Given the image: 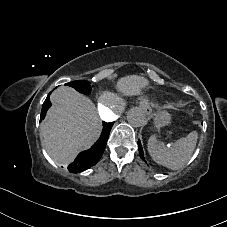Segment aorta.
Returning a JSON list of instances; mask_svg holds the SVG:
<instances>
[{"label":"aorta","mask_w":227,"mask_h":227,"mask_svg":"<svg viewBox=\"0 0 227 227\" xmlns=\"http://www.w3.org/2000/svg\"><path fill=\"white\" fill-rule=\"evenodd\" d=\"M127 121L133 127H140L147 122V114L141 108H132L127 113Z\"/></svg>","instance_id":"1"}]
</instances>
